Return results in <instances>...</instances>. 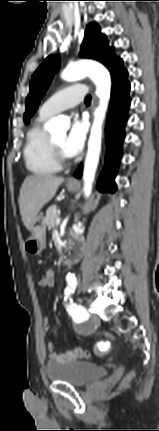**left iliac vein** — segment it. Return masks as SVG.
Wrapping results in <instances>:
<instances>
[{
    "label": "left iliac vein",
    "mask_w": 159,
    "mask_h": 431,
    "mask_svg": "<svg viewBox=\"0 0 159 431\" xmlns=\"http://www.w3.org/2000/svg\"><path fill=\"white\" fill-rule=\"evenodd\" d=\"M99 323V317L97 315H93L90 319V324L96 325Z\"/></svg>",
    "instance_id": "1"
}]
</instances>
